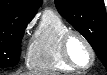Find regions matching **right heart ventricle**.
I'll return each mask as SVG.
<instances>
[{"mask_svg": "<svg viewBox=\"0 0 107 75\" xmlns=\"http://www.w3.org/2000/svg\"><path fill=\"white\" fill-rule=\"evenodd\" d=\"M70 30L63 19L52 11H45L28 47L26 65L30 70L41 72H69L61 55L60 42Z\"/></svg>", "mask_w": 107, "mask_h": 75, "instance_id": "1", "label": "right heart ventricle"}]
</instances>
